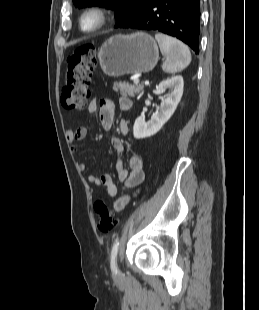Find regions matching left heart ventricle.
Returning a JSON list of instances; mask_svg holds the SVG:
<instances>
[{
  "label": "left heart ventricle",
  "instance_id": "1",
  "mask_svg": "<svg viewBox=\"0 0 259 310\" xmlns=\"http://www.w3.org/2000/svg\"><path fill=\"white\" fill-rule=\"evenodd\" d=\"M96 22V18L95 17H89L86 19L85 21V26L86 27H92Z\"/></svg>",
  "mask_w": 259,
  "mask_h": 310
}]
</instances>
